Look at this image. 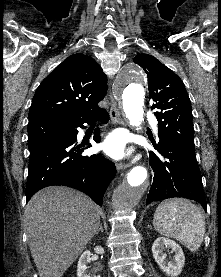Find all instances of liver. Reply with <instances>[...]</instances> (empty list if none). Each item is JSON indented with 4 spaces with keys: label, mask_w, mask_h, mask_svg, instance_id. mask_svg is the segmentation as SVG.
<instances>
[{
    "label": "liver",
    "mask_w": 221,
    "mask_h": 277,
    "mask_svg": "<svg viewBox=\"0 0 221 277\" xmlns=\"http://www.w3.org/2000/svg\"><path fill=\"white\" fill-rule=\"evenodd\" d=\"M24 220L39 277H62L100 225L99 208L88 196L60 186L37 192Z\"/></svg>",
    "instance_id": "liver-1"
}]
</instances>
